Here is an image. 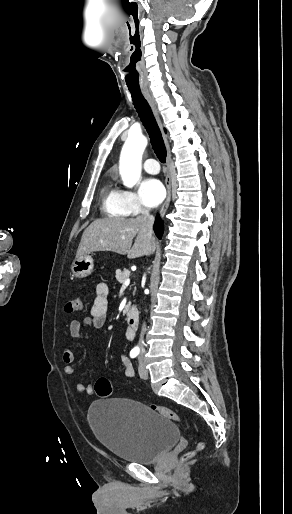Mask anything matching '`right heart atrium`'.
<instances>
[{"label":"right heart atrium","instance_id":"d8ad5b80","mask_svg":"<svg viewBox=\"0 0 292 514\" xmlns=\"http://www.w3.org/2000/svg\"><path fill=\"white\" fill-rule=\"evenodd\" d=\"M121 202L127 212L139 214L145 211L146 207L140 196L132 189H119Z\"/></svg>","mask_w":292,"mask_h":514}]
</instances>
